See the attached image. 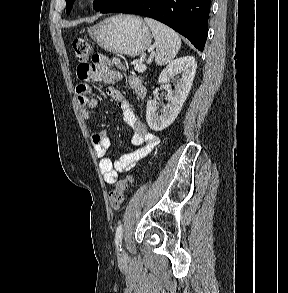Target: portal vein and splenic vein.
<instances>
[{"mask_svg":"<svg viewBox=\"0 0 288 293\" xmlns=\"http://www.w3.org/2000/svg\"><path fill=\"white\" fill-rule=\"evenodd\" d=\"M151 61H152V57L149 58V59L147 60V63H148V62H151ZM135 69H136L138 72H144V71L146 70V65H144V64L136 65V66H135Z\"/></svg>","mask_w":288,"mask_h":293,"instance_id":"obj_1","label":"portal vein and splenic vein"}]
</instances>
